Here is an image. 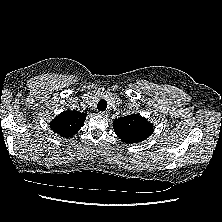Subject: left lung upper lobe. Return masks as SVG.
<instances>
[{"label":"left lung upper lobe","instance_id":"obj_1","mask_svg":"<svg viewBox=\"0 0 222 222\" xmlns=\"http://www.w3.org/2000/svg\"><path fill=\"white\" fill-rule=\"evenodd\" d=\"M116 135L126 143H139L153 132V125L145 117L132 114L116 119L113 123Z\"/></svg>","mask_w":222,"mask_h":222}]
</instances>
